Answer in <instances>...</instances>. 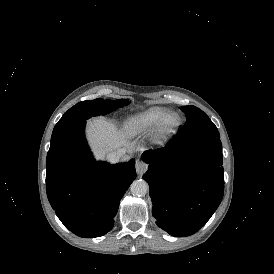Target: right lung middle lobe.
Returning a JSON list of instances; mask_svg holds the SVG:
<instances>
[{"mask_svg": "<svg viewBox=\"0 0 274 274\" xmlns=\"http://www.w3.org/2000/svg\"><path fill=\"white\" fill-rule=\"evenodd\" d=\"M127 104H129V101L125 99L115 101L95 99L77 103L70 108L55 125L51 136V143L64 136L67 132L90 117L105 115Z\"/></svg>", "mask_w": 274, "mask_h": 274, "instance_id": "dd1d6c3e", "label": "right lung middle lobe"}]
</instances>
